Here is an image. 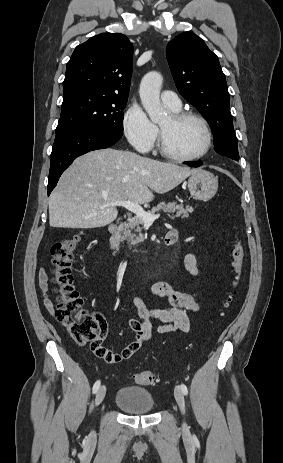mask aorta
<instances>
[{
	"instance_id": "aorta-1",
	"label": "aorta",
	"mask_w": 283,
	"mask_h": 463,
	"mask_svg": "<svg viewBox=\"0 0 283 463\" xmlns=\"http://www.w3.org/2000/svg\"><path fill=\"white\" fill-rule=\"evenodd\" d=\"M162 82L161 74L152 71L144 75L140 84L141 102L152 122H159L165 118V111L160 103Z\"/></svg>"
}]
</instances>
